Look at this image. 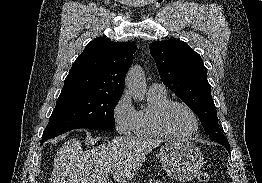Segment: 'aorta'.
Masks as SVG:
<instances>
[{
	"mask_svg": "<svg viewBox=\"0 0 262 183\" xmlns=\"http://www.w3.org/2000/svg\"><path fill=\"white\" fill-rule=\"evenodd\" d=\"M125 85L134 100H143L146 93V84L140 67H131L127 73Z\"/></svg>",
	"mask_w": 262,
	"mask_h": 183,
	"instance_id": "aorta-1",
	"label": "aorta"
}]
</instances>
